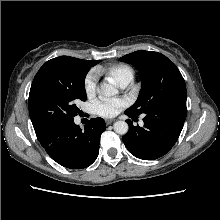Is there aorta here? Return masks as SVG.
<instances>
[{
  "label": "aorta",
  "instance_id": "aorta-1",
  "mask_svg": "<svg viewBox=\"0 0 220 220\" xmlns=\"http://www.w3.org/2000/svg\"><path fill=\"white\" fill-rule=\"evenodd\" d=\"M118 93V90L111 84L102 83L100 86V94L103 97H112ZM114 131L120 135H125L128 132V124L125 121H116L113 125Z\"/></svg>",
  "mask_w": 220,
  "mask_h": 220
}]
</instances>
